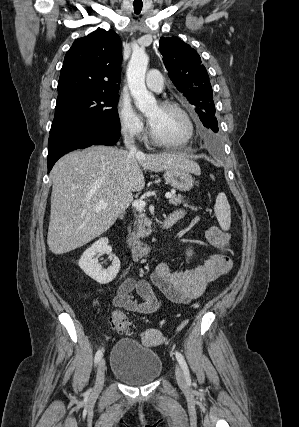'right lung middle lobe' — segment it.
<instances>
[{"label": "right lung middle lobe", "instance_id": "obj_1", "mask_svg": "<svg viewBox=\"0 0 299 427\" xmlns=\"http://www.w3.org/2000/svg\"><path fill=\"white\" fill-rule=\"evenodd\" d=\"M118 100V92H85L57 100L50 133L74 125L120 131Z\"/></svg>", "mask_w": 299, "mask_h": 427}]
</instances>
